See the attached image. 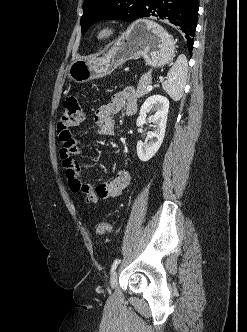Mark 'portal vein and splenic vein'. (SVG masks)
Listing matches in <instances>:
<instances>
[{
  "label": "portal vein and splenic vein",
  "mask_w": 247,
  "mask_h": 332,
  "mask_svg": "<svg viewBox=\"0 0 247 332\" xmlns=\"http://www.w3.org/2000/svg\"><path fill=\"white\" fill-rule=\"evenodd\" d=\"M152 88H153L152 85H148L147 88H146V90H147V91H151Z\"/></svg>",
  "instance_id": "18ae733b"
}]
</instances>
